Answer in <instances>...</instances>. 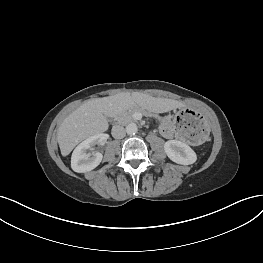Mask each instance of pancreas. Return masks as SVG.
Returning <instances> with one entry per match:
<instances>
[{
  "label": "pancreas",
  "instance_id": "pancreas-1",
  "mask_svg": "<svg viewBox=\"0 0 263 263\" xmlns=\"http://www.w3.org/2000/svg\"><path fill=\"white\" fill-rule=\"evenodd\" d=\"M136 111H140V110H139V109H136V108H133V109H129V110L121 113V114L117 117L118 123H120V124H126V123L132 121V120H133V114H134Z\"/></svg>",
  "mask_w": 263,
  "mask_h": 263
}]
</instances>
